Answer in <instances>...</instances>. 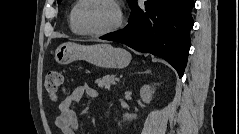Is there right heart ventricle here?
<instances>
[{
	"label": "right heart ventricle",
	"instance_id": "1",
	"mask_svg": "<svg viewBox=\"0 0 239 134\" xmlns=\"http://www.w3.org/2000/svg\"><path fill=\"white\" fill-rule=\"evenodd\" d=\"M80 2L81 1L74 2V4L72 5V8L70 10L69 18H68L70 30L74 34H77V35H81L82 34V32L79 30V28L77 27V25L75 23V13H76L77 7L80 4Z\"/></svg>",
	"mask_w": 239,
	"mask_h": 134
}]
</instances>
